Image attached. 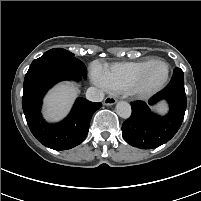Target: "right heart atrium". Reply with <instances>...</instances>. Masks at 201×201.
I'll return each instance as SVG.
<instances>
[{
    "label": "right heart atrium",
    "instance_id": "d8ad5b80",
    "mask_svg": "<svg viewBox=\"0 0 201 201\" xmlns=\"http://www.w3.org/2000/svg\"><path fill=\"white\" fill-rule=\"evenodd\" d=\"M91 78H92L93 83L96 86H98L100 89H102L104 91L109 90L104 73L98 65H95L92 67Z\"/></svg>",
    "mask_w": 201,
    "mask_h": 201
}]
</instances>
